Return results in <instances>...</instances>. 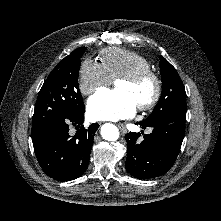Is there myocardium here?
<instances>
[{
  "label": "myocardium",
  "mask_w": 221,
  "mask_h": 221,
  "mask_svg": "<svg viewBox=\"0 0 221 221\" xmlns=\"http://www.w3.org/2000/svg\"><path fill=\"white\" fill-rule=\"evenodd\" d=\"M145 80H151L153 82L154 92L148 101L138 106L140 111H148L158 103L162 93V81L159 75L152 69H142L117 79V82L126 81L131 84H138Z\"/></svg>",
  "instance_id": "obj_1"
}]
</instances>
